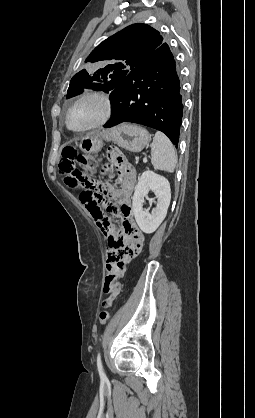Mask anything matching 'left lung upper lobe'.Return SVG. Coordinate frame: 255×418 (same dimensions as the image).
Masks as SVG:
<instances>
[{
    "instance_id": "left-lung-upper-lobe-1",
    "label": "left lung upper lobe",
    "mask_w": 255,
    "mask_h": 418,
    "mask_svg": "<svg viewBox=\"0 0 255 418\" xmlns=\"http://www.w3.org/2000/svg\"><path fill=\"white\" fill-rule=\"evenodd\" d=\"M163 37L146 24H133L100 43L85 62L96 69L81 70L73 76L67 92L71 98L83 88L112 92L119 87L128 73L165 45Z\"/></svg>"
}]
</instances>
